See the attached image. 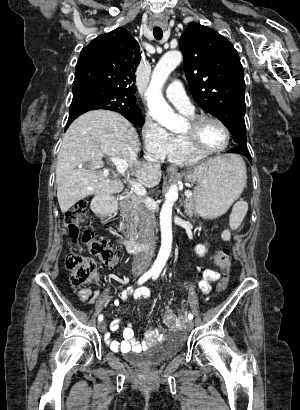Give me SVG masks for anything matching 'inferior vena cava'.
Returning <instances> with one entry per match:
<instances>
[{
    "label": "inferior vena cava",
    "mask_w": 300,
    "mask_h": 410,
    "mask_svg": "<svg viewBox=\"0 0 300 410\" xmlns=\"http://www.w3.org/2000/svg\"><path fill=\"white\" fill-rule=\"evenodd\" d=\"M152 166L160 169V163L152 160L149 162ZM139 242L143 249H138L133 259V270L145 271L152 259V253L155 250L156 239L154 237V215L148 206L142 208L139 214Z\"/></svg>",
    "instance_id": "602c4592"
}]
</instances>
